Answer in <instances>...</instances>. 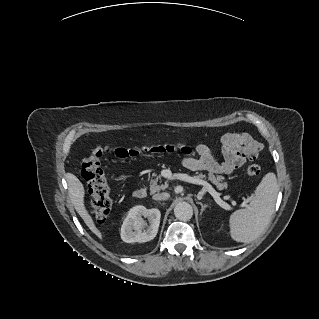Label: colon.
<instances>
[{"instance_id": "1", "label": "colon", "mask_w": 319, "mask_h": 319, "mask_svg": "<svg viewBox=\"0 0 319 319\" xmlns=\"http://www.w3.org/2000/svg\"><path fill=\"white\" fill-rule=\"evenodd\" d=\"M143 152L155 154L179 152L183 155H190L194 152V148L190 144L170 142L119 147L98 146L92 148L88 156L82 161L81 175L90 188L92 213L97 220H106L113 206L112 190L102 164L104 156L112 153L120 158H132ZM260 172L261 169L257 164L247 167V173L250 176H258Z\"/></svg>"}]
</instances>
